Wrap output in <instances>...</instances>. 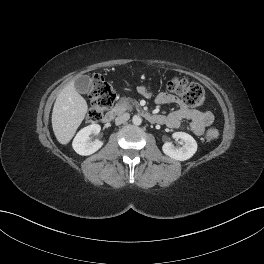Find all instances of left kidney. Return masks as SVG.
Here are the masks:
<instances>
[{"label": "left kidney", "instance_id": "left-kidney-1", "mask_svg": "<svg viewBox=\"0 0 264 264\" xmlns=\"http://www.w3.org/2000/svg\"><path fill=\"white\" fill-rule=\"evenodd\" d=\"M173 138L181 139L184 144L182 147H175L171 142L164 143L162 151L170 158L185 161L196 153L197 142L191 135L185 132H175Z\"/></svg>", "mask_w": 264, "mask_h": 264}]
</instances>
